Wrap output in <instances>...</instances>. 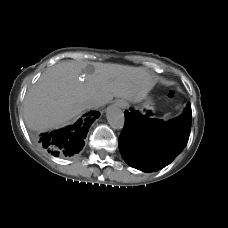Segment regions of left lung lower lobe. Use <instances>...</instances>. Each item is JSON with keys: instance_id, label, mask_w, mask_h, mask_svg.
<instances>
[{"instance_id": "0a47b994", "label": "left lung lower lobe", "mask_w": 228, "mask_h": 228, "mask_svg": "<svg viewBox=\"0 0 228 228\" xmlns=\"http://www.w3.org/2000/svg\"><path fill=\"white\" fill-rule=\"evenodd\" d=\"M191 104L168 121L125 112V128L119 137L120 153L127 164L145 172L171 163L186 146L191 131Z\"/></svg>"}]
</instances>
